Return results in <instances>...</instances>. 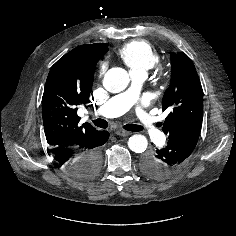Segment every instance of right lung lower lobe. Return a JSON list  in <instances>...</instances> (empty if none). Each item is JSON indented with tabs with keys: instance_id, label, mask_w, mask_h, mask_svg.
Listing matches in <instances>:
<instances>
[{
	"instance_id": "1",
	"label": "right lung lower lobe",
	"mask_w": 236,
	"mask_h": 236,
	"mask_svg": "<svg viewBox=\"0 0 236 236\" xmlns=\"http://www.w3.org/2000/svg\"><path fill=\"white\" fill-rule=\"evenodd\" d=\"M109 138L107 131H101L84 149L75 147L61 148L52 151L57 164L76 178H84L85 163L88 156H96L101 164L100 148Z\"/></svg>"
}]
</instances>
